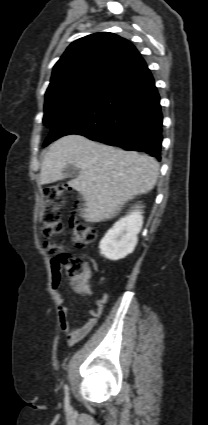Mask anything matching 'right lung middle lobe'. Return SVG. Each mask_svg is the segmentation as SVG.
Segmentation results:
<instances>
[{
  "label": "right lung middle lobe",
  "instance_id": "right-lung-middle-lobe-1",
  "mask_svg": "<svg viewBox=\"0 0 208 425\" xmlns=\"http://www.w3.org/2000/svg\"><path fill=\"white\" fill-rule=\"evenodd\" d=\"M103 93L104 89H86L45 102L43 123L51 127L61 116L85 108L96 101ZM48 144L49 142L45 141L44 146Z\"/></svg>",
  "mask_w": 208,
  "mask_h": 425
}]
</instances>
